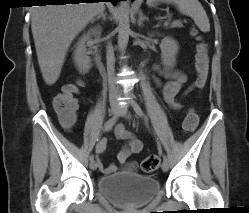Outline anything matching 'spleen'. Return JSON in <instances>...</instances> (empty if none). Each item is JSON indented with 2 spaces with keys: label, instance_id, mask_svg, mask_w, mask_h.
Segmentation results:
<instances>
[{
  "label": "spleen",
  "instance_id": "obj_1",
  "mask_svg": "<svg viewBox=\"0 0 249 213\" xmlns=\"http://www.w3.org/2000/svg\"><path fill=\"white\" fill-rule=\"evenodd\" d=\"M157 2L174 4L180 13L191 17L202 32L210 31L209 19L198 0H147V5L153 6Z\"/></svg>",
  "mask_w": 249,
  "mask_h": 213
}]
</instances>
